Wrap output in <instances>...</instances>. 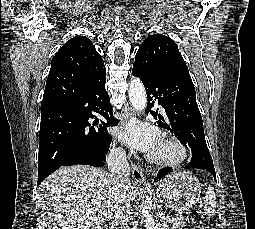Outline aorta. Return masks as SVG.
<instances>
[{
    "mask_svg": "<svg viewBox=\"0 0 255 229\" xmlns=\"http://www.w3.org/2000/svg\"><path fill=\"white\" fill-rule=\"evenodd\" d=\"M129 100L137 111H143L147 106V97L143 83L137 77H134L130 82ZM141 216L144 218L146 229H157L155 220L149 213V205L145 196H143V203L141 204Z\"/></svg>",
    "mask_w": 255,
    "mask_h": 229,
    "instance_id": "aorta-1",
    "label": "aorta"
}]
</instances>
